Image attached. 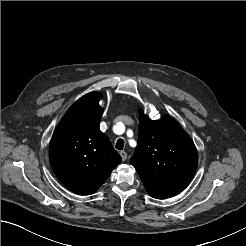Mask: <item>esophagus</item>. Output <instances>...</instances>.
<instances>
[{
	"label": "esophagus",
	"mask_w": 246,
	"mask_h": 246,
	"mask_svg": "<svg viewBox=\"0 0 246 246\" xmlns=\"http://www.w3.org/2000/svg\"><path fill=\"white\" fill-rule=\"evenodd\" d=\"M119 154H120L123 161H125L127 159V153L125 151H120Z\"/></svg>",
	"instance_id": "1"
}]
</instances>
